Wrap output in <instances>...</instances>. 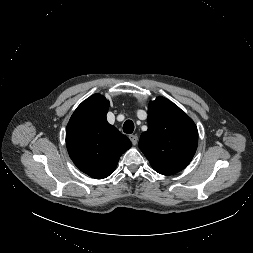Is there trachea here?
Here are the masks:
<instances>
[{
  "label": "trachea",
  "instance_id": "3493384b",
  "mask_svg": "<svg viewBox=\"0 0 253 253\" xmlns=\"http://www.w3.org/2000/svg\"><path fill=\"white\" fill-rule=\"evenodd\" d=\"M124 133L131 134L134 131V123L131 120L125 121L123 125Z\"/></svg>",
  "mask_w": 253,
  "mask_h": 253
}]
</instances>
